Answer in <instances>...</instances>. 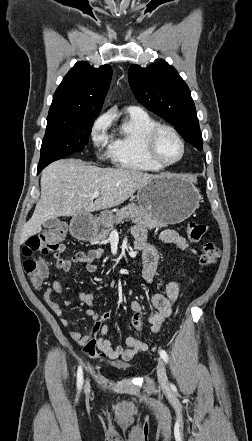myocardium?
Returning a JSON list of instances; mask_svg holds the SVG:
<instances>
[{
	"label": "myocardium",
	"mask_w": 252,
	"mask_h": 441,
	"mask_svg": "<svg viewBox=\"0 0 252 441\" xmlns=\"http://www.w3.org/2000/svg\"><path fill=\"white\" fill-rule=\"evenodd\" d=\"M163 131H167L170 134H172L179 141L181 145L180 156L177 159L170 162H164L158 157L156 153V140L159 134ZM145 151L147 156L153 163H155L161 168H166L179 163L184 158L186 153V143L183 137L174 127L167 124H157L153 128H151L145 136Z\"/></svg>",
	"instance_id": "myocardium-1"
}]
</instances>
